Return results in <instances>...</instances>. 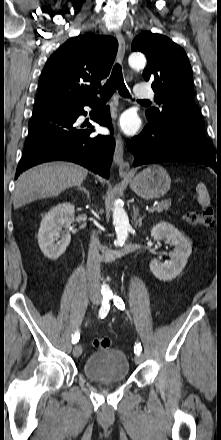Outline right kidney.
<instances>
[{
    "label": "right kidney",
    "instance_id": "ca27d5eb",
    "mask_svg": "<svg viewBox=\"0 0 221 440\" xmlns=\"http://www.w3.org/2000/svg\"><path fill=\"white\" fill-rule=\"evenodd\" d=\"M74 213V205L61 203L43 217L38 232V244L48 259L56 260L65 253L71 240L67 230L74 220ZM58 238L61 240L58 241Z\"/></svg>",
    "mask_w": 221,
    "mask_h": 440
}]
</instances>
